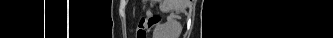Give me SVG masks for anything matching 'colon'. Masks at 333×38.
<instances>
[{
	"label": "colon",
	"instance_id": "colon-1",
	"mask_svg": "<svg viewBox=\"0 0 333 38\" xmlns=\"http://www.w3.org/2000/svg\"><path fill=\"white\" fill-rule=\"evenodd\" d=\"M161 21L160 16H151L141 18L139 20L137 30H136V38H147L148 32L150 29L155 26L157 23Z\"/></svg>",
	"mask_w": 333,
	"mask_h": 38
}]
</instances>
